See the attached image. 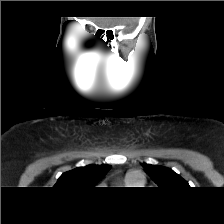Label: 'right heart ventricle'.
Segmentation results:
<instances>
[{
	"mask_svg": "<svg viewBox=\"0 0 224 224\" xmlns=\"http://www.w3.org/2000/svg\"><path fill=\"white\" fill-rule=\"evenodd\" d=\"M125 183L129 186H135L137 184H139L138 182L131 180V178L128 177V179L125 181Z\"/></svg>",
	"mask_w": 224,
	"mask_h": 224,
	"instance_id": "right-heart-ventricle-1",
	"label": "right heart ventricle"
}]
</instances>
